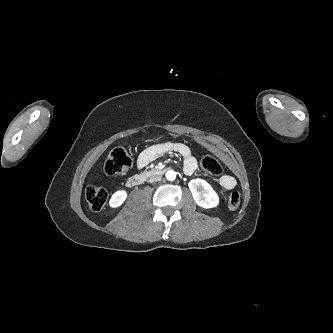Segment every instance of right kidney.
I'll use <instances>...</instances> for the list:
<instances>
[{
  "instance_id": "ca27d5eb",
  "label": "right kidney",
  "mask_w": 333,
  "mask_h": 333,
  "mask_svg": "<svg viewBox=\"0 0 333 333\" xmlns=\"http://www.w3.org/2000/svg\"><path fill=\"white\" fill-rule=\"evenodd\" d=\"M126 197H127L126 191L124 190L117 191L112 195L109 205L112 208L119 207L125 201Z\"/></svg>"
}]
</instances>
